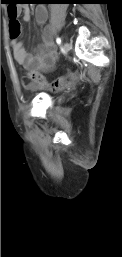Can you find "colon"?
Instances as JSON below:
<instances>
[{
    "label": "colon",
    "instance_id": "colon-1",
    "mask_svg": "<svg viewBox=\"0 0 122 257\" xmlns=\"http://www.w3.org/2000/svg\"><path fill=\"white\" fill-rule=\"evenodd\" d=\"M6 10H9V32L11 38H18L21 33V24L17 19L18 5H6ZM75 74L60 77L48 83L39 72L30 71L27 73L24 82L28 87H40L49 90H60L69 79H84V74L81 70H75Z\"/></svg>",
    "mask_w": 122,
    "mask_h": 257
}]
</instances>
